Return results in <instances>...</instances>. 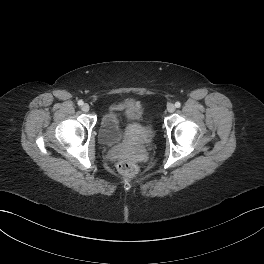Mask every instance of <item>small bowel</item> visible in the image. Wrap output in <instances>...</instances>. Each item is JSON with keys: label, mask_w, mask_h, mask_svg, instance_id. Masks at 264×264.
<instances>
[{"label": "small bowel", "mask_w": 264, "mask_h": 264, "mask_svg": "<svg viewBox=\"0 0 264 264\" xmlns=\"http://www.w3.org/2000/svg\"><path fill=\"white\" fill-rule=\"evenodd\" d=\"M123 108H124V106L117 105V106L113 107V110H115V111H121Z\"/></svg>", "instance_id": "c3829d8e"}]
</instances>
